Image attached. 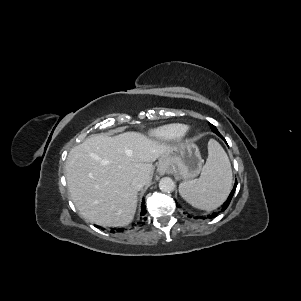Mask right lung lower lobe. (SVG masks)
<instances>
[{
  "mask_svg": "<svg viewBox=\"0 0 301 301\" xmlns=\"http://www.w3.org/2000/svg\"><path fill=\"white\" fill-rule=\"evenodd\" d=\"M145 214H146V211H145V205H144V201H143V203H142V213H141V215L143 216V215H145ZM117 231H121V229H118ZM111 232L114 233L115 231L112 230Z\"/></svg>",
  "mask_w": 301,
  "mask_h": 301,
  "instance_id": "obj_1",
  "label": "right lung lower lobe"
}]
</instances>
